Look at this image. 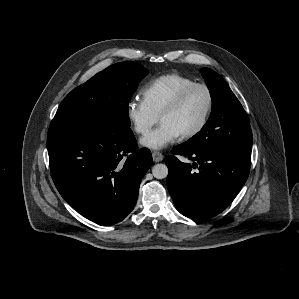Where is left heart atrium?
Segmentation results:
<instances>
[{"label":"left heart atrium","instance_id":"39dd6f15","mask_svg":"<svg viewBox=\"0 0 299 299\" xmlns=\"http://www.w3.org/2000/svg\"><path fill=\"white\" fill-rule=\"evenodd\" d=\"M180 136V132L172 125L160 123L157 128L144 136L140 143L145 147L158 150L175 142Z\"/></svg>","mask_w":299,"mask_h":299}]
</instances>
